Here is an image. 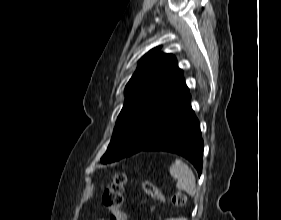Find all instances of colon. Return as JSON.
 <instances>
[{
	"mask_svg": "<svg viewBox=\"0 0 281 220\" xmlns=\"http://www.w3.org/2000/svg\"><path fill=\"white\" fill-rule=\"evenodd\" d=\"M126 181L127 175L125 172L116 173L103 193V204L110 212L108 220H126L125 212L122 209ZM143 189L150 197L159 201L164 200L163 194L152 181L144 180ZM171 201L176 206H183L187 201V197L183 194H175Z\"/></svg>",
	"mask_w": 281,
	"mask_h": 220,
	"instance_id": "obj_1",
	"label": "colon"
}]
</instances>
